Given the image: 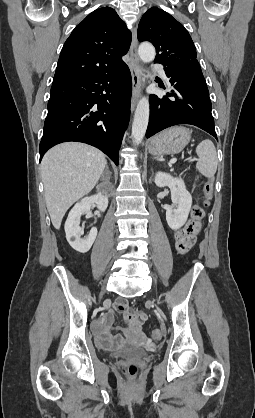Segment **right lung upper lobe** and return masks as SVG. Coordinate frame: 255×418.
Wrapping results in <instances>:
<instances>
[{
  "mask_svg": "<svg viewBox=\"0 0 255 418\" xmlns=\"http://www.w3.org/2000/svg\"><path fill=\"white\" fill-rule=\"evenodd\" d=\"M131 33L114 9L104 7L90 13L66 40L53 82L106 74L123 67Z\"/></svg>",
  "mask_w": 255,
  "mask_h": 418,
  "instance_id": "cb5924a9",
  "label": "right lung upper lobe"
}]
</instances>
